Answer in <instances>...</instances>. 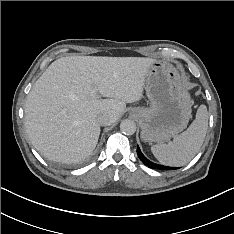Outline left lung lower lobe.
Listing matches in <instances>:
<instances>
[{
    "instance_id": "obj_1",
    "label": "left lung lower lobe",
    "mask_w": 234,
    "mask_h": 234,
    "mask_svg": "<svg viewBox=\"0 0 234 234\" xmlns=\"http://www.w3.org/2000/svg\"><path fill=\"white\" fill-rule=\"evenodd\" d=\"M137 154L140 158V160L148 167L150 168H154V169H159V170H173L176 169L174 167H167V166H163V165H159V164H155L151 161H149L141 152L140 148L137 146Z\"/></svg>"
}]
</instances>
